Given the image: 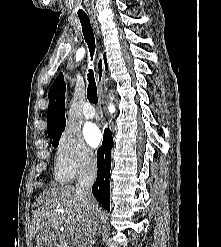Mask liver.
I'll use <instances>...</instances> for the list:
<instances>
[{"label": "liver", "mask_w": 221, "mask_h": 247, "mask_svg": "<svg viewBox=\"0 0 221 247\" xmlns=\"http://www.w3.org/2000/svg\"><path fill=\"white\" fill-rule=\"evenodd\" d=\"M36 209L31 222V235L54 232L64 224L75 238L83 234L86 226V210L76 187L60 186L44 190L36 200ZM98 216L100 209L96 203Z\"/></svg>", "instance_id": "liver-1"}]
</instances>
